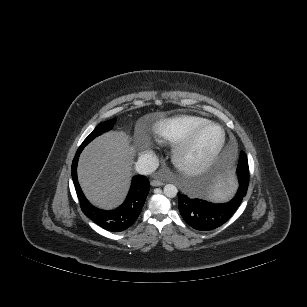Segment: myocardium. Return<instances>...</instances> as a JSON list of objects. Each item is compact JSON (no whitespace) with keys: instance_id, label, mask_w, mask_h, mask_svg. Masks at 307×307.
<instances>
[{"instance_id":"f54148a6","label":"myocardium","mask_w":307,"mask_h":307,"mask_svg":"<svg viewBox=\"0 0 307 307\" xmlns=\"http://www.w3.org/2000/svg\"><path fill=\"white\" fill-rule=\"evenodd\" d=\"M215 127L220 131V139L214 149L196 161L186 160V155L193 149L199 136L208 128ZM226 142L223 128L214 122H208L192 131L184 140L179 142L173 150L172 159L175 165L187 174H199L207 170L217 159Z\"/></svg>"}]
</instances>
